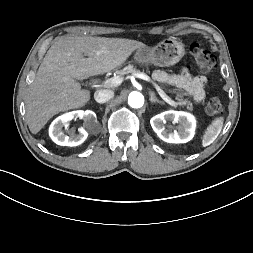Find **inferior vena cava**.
<instances>
[{"mask_svg": "<svg viewBox=\"0 0 253 253\" xmlns=\"http://www.w3.org/2000/svg\"><path fill=\"white\" fill-rule=\"evenodd\" d=\"M114 97V92L108 89H101L95 92L94 99L98 103H106Z\"/></svg>", "mask_w": 253, "mask_h": 253, "instance_id": "602c4592", "label": "inferior vena cava"}]
</instances>
